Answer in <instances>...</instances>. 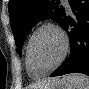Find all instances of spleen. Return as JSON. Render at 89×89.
Returning a JSON list of instances; mask_svg holds the SVG:
<instances>
[{"instance_id": "1", "label": "spleen", "mask_w": 89, "mask_h": 89, "mask_svg": "<svg viewBox=\"0 0 89 89\" xmlns=\"http://www.w3.org/2000/svg\"><path fill=\"white\" fill-rule=\"evenodd\" d=\"M67 82L69 89H88L89 78L80 73L68 74L63 78Z\"/></svg>"}]
</instances>
